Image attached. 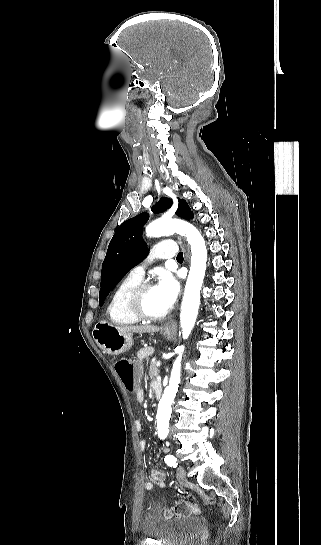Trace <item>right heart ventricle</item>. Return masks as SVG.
<instances>
[{
    "mask_svg": "<svg viewBox=\"0 0 321 545\" xmlns=\"http://www.w3.org/2000/svg\"><path fill=\"white\" fill-rule=\"evenodd\" d=\"M140 282V279L134 278L128 274L121 279L113 291L106 307L108 320L112 325L116 327H126L137 322L127 315L124 304L125 297L129 290Z\"/></svg>",
    "mask_w": 321,
    "mask_h": 545,
    "instance_id": "e07e8e85",
    "label": "right heart ventricle"
}]
</instances>
